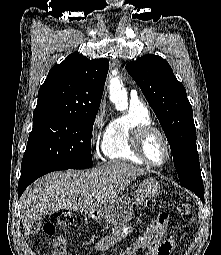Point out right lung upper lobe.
<instances>
[{
  "mask_svg": "<svg viewBox=\"0 0 221 255\" xmlns=\"http://www.w3.org/2000/svg\"><path fill=\"white\" fill-rule=\"evenodd\" d=\"M109 69L107 59L70 54L48 73L38 92L34 114H85L100 106Z\"/></svg>",
  "mask_w": 221,
  "mask_h": 255,
  "instance_id": "1",
  "label": "right lung upper lobe"
}]
</instances>
